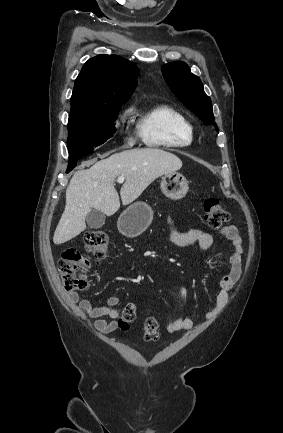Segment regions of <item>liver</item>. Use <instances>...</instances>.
<instances>
[{
	"instance_id": "obj_1",
	"label": "liver",
	"mask_w": 283,
	"mask_h": 433,
	"mask_svg": "<svg viewBox=\"0 0 283 433\" xmlns=\"http://www.w3.org/2000/svg\"><path fill=\"white\" fill-rule=\"evenodd\" d=\"M181 166L182 160L176 154L161 148H130L98 160L86 170H76L66 188L65 210L53 237L55 245H62L85 231V217L91 208L101 210L107 217L120 208L114 186L117 176H125L121 200L122 204H130L155 178Z\"/></svg>"
}]
</instances>
